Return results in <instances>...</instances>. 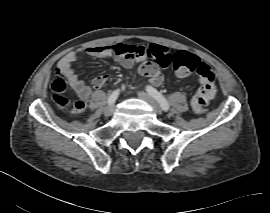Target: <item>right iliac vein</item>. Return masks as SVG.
I'll use <instances>...</instances> for the list:
<instances>
[{"label":"right iliac vein","instance_id":"63e3f726","mask_svg":"<svg viewBox=\"0 0 270 213\" xmlns=\"http://www.w3.org/2000/svg\"><path fill=\"white\" fill-rule=\"evenodd\" d=\"M113 112H114V104L108 105V106L104 109V115H105V116H110Z\"/></svg>","mask_w":270,"mask_h":213}]
</instances>
